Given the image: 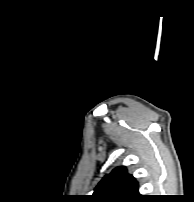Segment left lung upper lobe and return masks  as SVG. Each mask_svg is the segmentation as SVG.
Returning <instances> with one entry per match:
<instances>
[{
  "mask_svg": "<svg viewBox=\"0 0 194 202\" xmlns=\"http://www.w3.org/2000/svg\"><path fill=\"white\" fill-rule=\"evenodd\" d=\"M96 202H135L142 198L138 183L124 166L106 175L91 196Z\"/></svg>",
  "mask_w": 194,
  "mask_h": 202,
  "instance_id": "5c2ea615",
  "label": "left lung upper lobe"
}]
</instances>
